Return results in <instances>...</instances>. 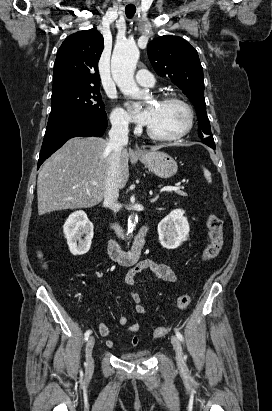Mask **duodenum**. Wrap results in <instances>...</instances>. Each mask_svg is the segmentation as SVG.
<instances>
[{
    "mask_svg": "<svg viewBox=\"0 0 272 411\" xmlns=\"http://www.w3.org/2000/svg\"><path fill=\"white\" fill-rule=\"evenodd\" d=\"M148 227L143 226L137 233L130 250H123L116 240L108 239L107 246L110 257L119 264L126 266L135 263L145 248Z\"/></svg>",
    "mask_w": 272,
    "mask_h": 411,
    "instance_id": "obj_1",
    "label": "duodenum"
}]
</instances>
